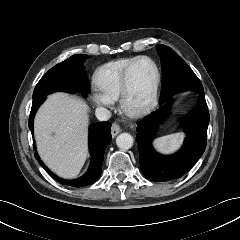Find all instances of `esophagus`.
<instances>
[{
    "instance_id": "34e87169",
    "label": "esophagus",
    "mask_w": 240,
    "mask_h": 240,
    "mask_svg": "<svg viewBox=\"0 0 240 240\" xmlns=\"http://www.w3.org/2000/svg\"><path fill=\"white\" fill-rule=\"evenodd\" d=\"M121 132V128L118 124L113 123L111 127V134L113 137L117 136Z\"/></svg>"
}]
</instances>
